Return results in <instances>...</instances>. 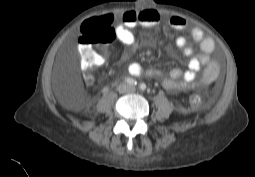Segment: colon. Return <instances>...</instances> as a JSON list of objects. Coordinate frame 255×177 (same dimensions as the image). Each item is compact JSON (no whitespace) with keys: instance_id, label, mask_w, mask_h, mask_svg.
I'll return each mask as SVG.
<instances>
[{"instance_id":"obj_1","label":"colon","mask_w":255,"mask_h":177,"mask_svg":"<svg viewBox=\"0 0 255 177\" xmlns=\"http://www.w3.org/2000/svg\"><path fill=\"white\" fill-rule=\"evenodd\" d=\"M79 42L78 52L82 66L90 70L96 65V52L94 47L99 45H109L115 39V33L110 27V21L107 16L85 21L77 35ZM208 70H206V74ZM90 76H86V81H90Z\"/></svg>"}]
</instances>
